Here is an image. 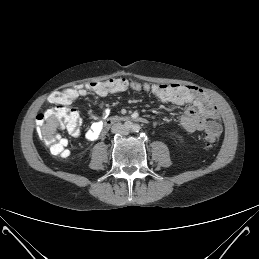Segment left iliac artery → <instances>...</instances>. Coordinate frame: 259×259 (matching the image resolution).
Returning a JSON list of instances; mask_svg holds the SVG:
<instances>
[{
  "instance_id": "1",
  "label": "left iliac artery",
  "mask_w": 259,
  "mask_h": 259,
  "mask_svg": "<svg viewBox=\"0 0 259 259\" xmlns=\"http://www.w3.org/2000/svg\"><path fill=\"white\" fill-rule=\"evenodd\" d=\"M133 130L136 131V132H138L139 127H138V126H134V127H133Z\"/></svg>"
}]
</instances>
